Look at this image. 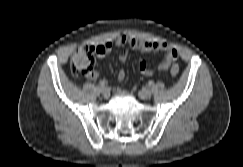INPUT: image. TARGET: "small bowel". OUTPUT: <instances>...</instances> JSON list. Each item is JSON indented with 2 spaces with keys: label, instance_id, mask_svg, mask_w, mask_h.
I'll return each mask as SVG.
<instances>
[{
  "label": "small bowel",
  "instance_id": "c3829d8e",
  "mask_svg": "<svg viewBox=\"0 0 243 167\" xmlns=\"http://www.w3.org/2000/svg\"><path fill=\"white\" fill-rule=\"evenodd\" d=\"M116 45H129L131 48L139 50L141 52H150V51H160L164 53L163 60L159 63L158 68L160 71H167L171 64L177 60L178 51L176 48L171 46L169 43L166 42H155V41H148V40H141L134 36L130 35H122L120 36L117 41ZM112 49V45L110 43L100 44L94 47L95 54L98 57H104L108 53H110ZM128 59L127 51H122L119 55V61L122 65L126 63ZM139 71L144 76H151L153 74V70L150 69L147 63L144 60H141L138 64ZM125 69L122 67L118 73V79L120 81L124 80L125 78ZM90 79H97L99 77L98 72L93 71L90 75H88Z\"/></svg>",
  "mask_w": 243,
  "mask_h": 167
}]
</instances>
